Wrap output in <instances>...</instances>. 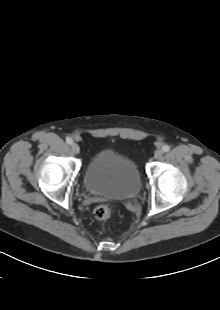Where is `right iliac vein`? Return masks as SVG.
<instances>
[{"label": "right iliac vein", "instance_id": "63e3f726", "mask_svg": "<svg viewBox=\"0 0 220 310\" xmlns=\"http://www.w3.org/2000/svg\"><path fill=\"white\" fill-rule=\"evenodd\" d=\"M71 149H72V152H73L74 154H79V153H80V147H79L78 144H76V143H73V144L71 145Z\"/></svg>", "mask_w": 220, "mask_h": 310}]
</instances>
